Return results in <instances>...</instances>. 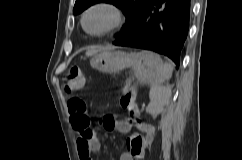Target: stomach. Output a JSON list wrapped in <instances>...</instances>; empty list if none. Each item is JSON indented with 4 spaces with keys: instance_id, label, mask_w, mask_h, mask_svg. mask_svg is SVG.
<instances>
[{
    "instance_id": "0dacf381",
    "label": "stomach",
    "mask_w": 242,
    "mask_h": 160,
    "mask_svg": "<svg viewBox=\"0 0 242 160\" xmlns=\"http://www.w3.org/2000/svg\"><path fill=\"white\" fill-rule=\"evenodd\" d=\"M150 53H128L124 51H102L91 61L92 68L106 73H118L127 67H133L136 77L143 83L150 82L152 78Z\"/></svg>"
}]
</instances>
